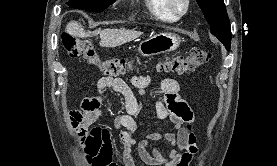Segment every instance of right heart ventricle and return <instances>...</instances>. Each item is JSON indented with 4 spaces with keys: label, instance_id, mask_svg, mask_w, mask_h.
I'll list each match as a JSON object with an SVG mask.
<instances>
[{
    "label": "right heart ventricle",
    "instance_id": "right-heart-ventricle-1",
    "mask_svg": "<svg viewBox=\"0 0 277 166\" xmlns=\"http://www.w3.org/2000/svg\"><path fill=\"white\" fill-rule=\"evenodd\" d=\"M146 7L158 20L172 22L176 17L168 10L165 0H145Z\"/></svg>",
    "mask_w": 277,
    "mask_h": 166
}]
</instances>
